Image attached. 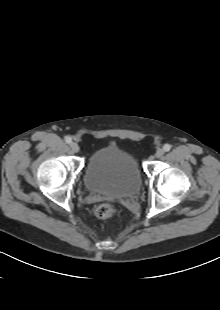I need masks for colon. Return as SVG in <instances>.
Returning <instances> with one entry per match:
<instances>
[{"label": "colon", "instance_id": "obj_1", "mask_svg": "<svg viewBox=\"0 0 220 310\" xmlns=\"http://www.w3.org/2000/svg\"><path fill=\"white\" fill-rule=\"evenodd\" d=\"M116 213V208L114 205L109 203H104L99 205L96 210L95 214L100 219H107L112 217Z\"/></svg>", "mask_w": 220, "mask_h": 310}]
</instances>
